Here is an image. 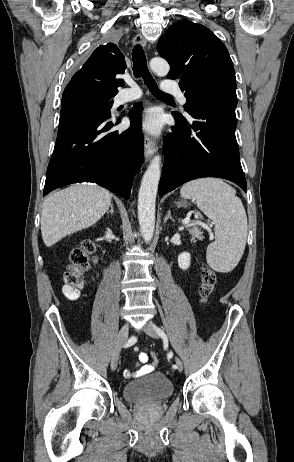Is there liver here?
Segmentation results:
<instances>
[{
  "instance_id": "obj_1",
  "label": "liver",
  "mask_w": 294,
  "mask_h": 462,
  "mask_svg": "<svg viewBox=\"0 0 294 462\" xmlns=\"http://www.w3.org/2000/svg\"><path fill=\"white\" fill-rule=\"evenodd\" d=\"M111 206V194L97 185L71 186L48 196L42 206L41 233L51 247L67 235L94 225Z\"/></svg>"
}]
</instances>
